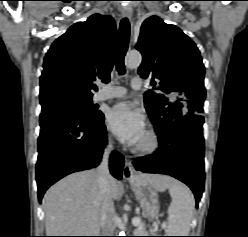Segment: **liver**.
Masks as SVG:
<instances>
[{
    "label": "liver",
    "mask_w": 248,
    "mask_h": 237,
    "mask_svg": "<svg viewBox=\"0 0 248 237\" xmlns=\"http://www.w3.org/2000/svg\"><path fill=\"white\" fill-rule=\"evenodd\" d=\"M159 191L173 180L157 174H140ZM112 198L119 199L122 185L111 177ZM47 236H95L99 234L100 187L97 169L71 174L54 184L44 195Z\"/></svg>",
    "instance_id": "1"
}]
</instances>
